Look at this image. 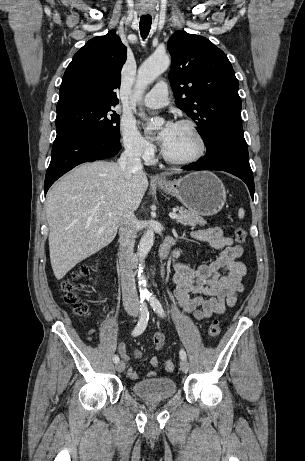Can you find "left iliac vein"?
<instances>
[{
  "instance_id": "1",
  "label": "left iliac vein",
  "mask_w": 305,
  "mask_h": 461,
  "mask_svg": "<svg viewBox=\"0 0 305 461\" xmlns=\"http://www.w3.org/2000/svg\"><path fill=\"white\" fill-rule=\"evenodd\" d=\"M180 368L181 370L186 373L188 372V369H189V364L188 362L186 361V359H182L181 362H180Z\"/></svg>"
}]
</instances>
